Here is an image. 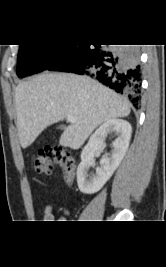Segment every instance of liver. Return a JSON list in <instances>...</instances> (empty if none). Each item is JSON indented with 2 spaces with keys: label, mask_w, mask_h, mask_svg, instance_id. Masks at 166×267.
Returning <instances> with one entry per match:
<instances>
[{
  "label": "liver",
  "mask_w": 166,
  "mask_h": 267,
  "mask_svg": "<svg viewBox=\"0 0 166 267\" xmlns=\"http://www.w3.org/2000/svg\"><path fill=\"white\" fill-rule=\"evenodd\" d=\"M15 105L22 148L67 114L76 122L64 129L59 143L72 149L80 148L100 124L130 114L129 103L111 89L89 77L66 73L45 72L19 83Z\"/></svg>",
  "instance_id": "6515ba94"
}]
</instances>
